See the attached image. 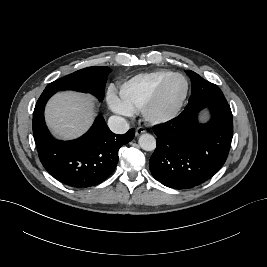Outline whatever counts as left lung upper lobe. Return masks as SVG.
Segmentation results:
<instances>
[{
  "label": "left lung upper lobe",
  "mask_w": 267,
  "mask_h": 267,
  "mask_svg": "<svg viewBox=\"0 0 267 267\" xmlns=\"http://www.w3.org/2000/svg\"><path fill=\"white\" fill-rule=\"evenodd\" d=\"M186 73L192 82V92L190 97L195 95H204L210 90H213L212 93H215L213 96L216 98L215 101L221 102L222 100H226L217 85L204 80L201 76L193 71L187 70Z\"/></svg>",
  "instance_id": "obj_1"
}]
</instances>
